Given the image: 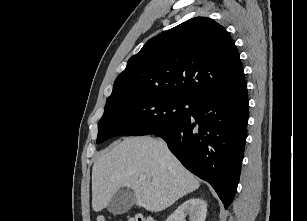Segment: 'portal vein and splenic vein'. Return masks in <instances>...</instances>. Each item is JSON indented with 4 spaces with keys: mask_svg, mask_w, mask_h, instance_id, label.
Masks as SVG:
<instances>
[{
    "mask_svg": "<svg viewBox=\"0 0 307 221\" xmlns=\"http://www.w3.org/2000/svg\"><path fill=\"white\" fill-rule=\"evenodd\" d=\"M140 179H146V175H144V174H142V175H140Z\"/></svg>",
    "mask_w": 307,
    "mask_h": 221,
    "instance_id": "portal-vein-and-splenic-vein-1",
    "label": "portal vein and splenic vein"
}]
</instances>
